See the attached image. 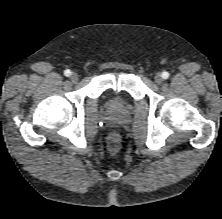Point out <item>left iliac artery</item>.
<instances>
[{"label": "left iliac artery", "instance_id": "obj_1", "mask_svg": "<svg viewBox=\"0 0 222 219\" xmlns=\"http://www.w3.org/2000/svg\"><path fill=\"white\" fill-rule=\"evenodd\" d=\"M162 77H163L164 79H167V78L169 77V73L166 72V71H164V72L162 73Z\"/></svg>", "mask_w": 222, "mask_h": 219}]
</instances>
